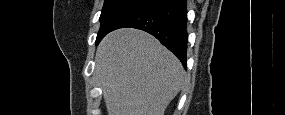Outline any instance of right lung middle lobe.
Instances as JSON below:
<instances>
[{"label":"right lung middle lobe","instance_id":"right-lung-middle-lobe-1","mask_svg":"<svg viewBox=\"0 0 285 115\" xmlns=\"http://www.w3.org/2000/svg\"><path fill=\"white\" fill-rule=\"evenodd\" d=\"M153 0H105L101 15V26L96 44L109 33L121 20L144 7Z\"/></svg>","mask_w":285,"mask_h":115}]
</instances>
